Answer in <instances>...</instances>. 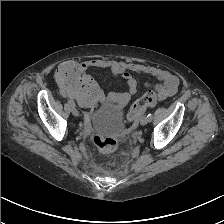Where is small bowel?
<instances>
[{
    "mask_svg": "<svg viewBox=\"0 0 224 224\" xmlns=\"http://www.w3.org/2000/svg\"><path fill=\"white\" fill-rule=\"evenodd\" d=\"M83 68L109 69L114 75H121L127 84V91L118 95V104L125 107L137 92V81L131 73H139L156 77L160 83L154 86V98L166 99L173 96L178 89L179 79L167 70L135 62L115 61L108 59H91L82 64Z\"/></svg>",
    "mask_w": 224,
    "mask_h": 224,
    "instance_id": "c3829d8e",
    "label": "small bowel"
}]
</instances>
